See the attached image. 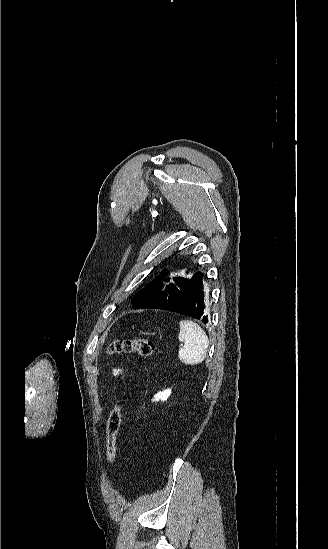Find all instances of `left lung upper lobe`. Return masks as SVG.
Wrapping results in <instances>:
<instances>
[{"instance_id":"obj_1","label":"left lung upper lobe","mask_w":328,"mask_h":549,"mask_svg":"<svg viewBox=\"0 0 328 549\" xmlns=\"http://www.w3.org/2000/svg\"><path fill=\"white\" fill-rule=\"evenodd\" d=\"M182 278H185L183 273L173 276L169 275L167 269H163L158 277L133 297V303L143 308L157 301L170 299Z\"/></svg>"}]
</instances>
